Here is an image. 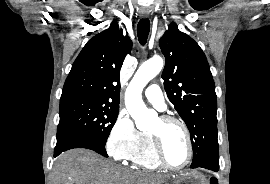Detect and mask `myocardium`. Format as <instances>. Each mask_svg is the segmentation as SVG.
I'll list each match as a JSON object with an SVG mask.
<instances>
[{"mask_svg":"<svg viewBox=\"0 0 270 184\" xmlns=\"http://www.w3.org/2000/svg\"><path fill=\"white\" fill-rule=\"evenodd\" d=\"M159 119L165 125L176 124V125L181 127V129L183 130L185 137H186L187 158L184 161V163L179 165V166H173V165L169 164L164 156L163 143H162L161 137L155 133L150 132L149 135H150V138H151V141L153 144V149H154L156 159L162 167H164L168 170H173V171L182 170V169L186 168L191 163L192 158H193V143H192L190 131H189L187 125L185 124V122L182 121L181 119L175 117V116L164 115V116H161Z\"/></svg>","mask_w":270,"mask_h":184,"instance_id":"f54148a6","label":"myocardium"}]
</instances>
